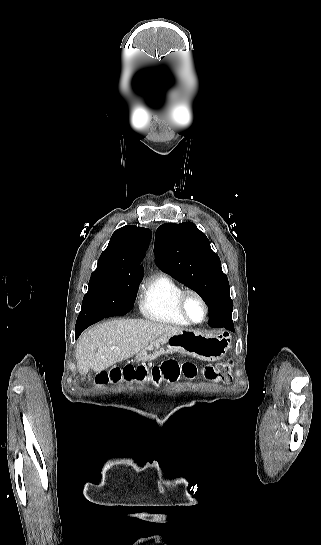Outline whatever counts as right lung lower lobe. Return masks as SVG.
<instances>
[{"mask_svg": "<svg viewBox=\"0 0 321 545\" xmlns=\"http://www.w3.org/2000/svg\"><path fill=\"white\" fill-rule=\"evenodd\" d=\"M135 298H136V295L118 296L106 305V308H104V311H103V315L100 318L93 321L77 322L76 328H75L76 338L88 326L102 320L103 318L125 315L127 312H129L133 308Z\"/></svg>", "mask_w": 321, "mask_h": 545, "instance_id": "obj_1", "label": "right lung lower lobe"}]
</instances>
